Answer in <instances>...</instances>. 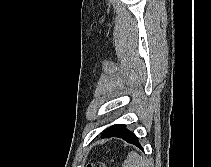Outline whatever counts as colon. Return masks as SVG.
<instances>
[{
    "instance_id": "1",
    "label": "colon",
    "mask_w": 211,
    "mask_h": 167,
    "mask_svg": "<svg viewBox=\"0 0 211 167\" xmlns=\"http://www.w3.org/2000/svg\"><path fill=\"white\" fill-rule=\"evenodd\" d=\"M89 167H108V165H107V163H105L103 161H99V162L89 165Z\"/></svg>"
}]
</instances>
